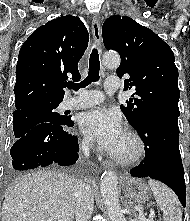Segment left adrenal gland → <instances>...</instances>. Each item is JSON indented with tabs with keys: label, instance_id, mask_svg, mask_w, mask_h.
<instances>
[{
	"label": "left adrenal gland",
	"instance_id": "1",
	"mask_svg": "<svg viewBox=\"0 0 190 221\" xmlns=\"http://www.w3.org/2000/svg\"><path fill=\"white\" fill-rule=\"evenodd\" d=\"M125 207H126L128 210L133 211V210L131 209V206H130L129 204H127V201H126V200H125Z\"/></svg>",
	"mask_w": 190,
	"mask_h": 221
}]
</instances>
